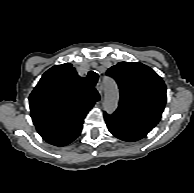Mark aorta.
<instances>
[{
    "label": "aorta",
    "mask_w": 194,
    "mask_h": 193,
    "mask_svg": "<svg viewBox=\"0 0 194 193\" xmlns=\"http://www.w3.org/2000/svg\"><path fill=\"white\" fill-rule=\"evenodd\" d=\"M104 100L103 108L107 113H113L118 105V88L115 81L110 77H104Z\"/></svg>",
    "instance_id": "obj_1"
}]
</instances>
